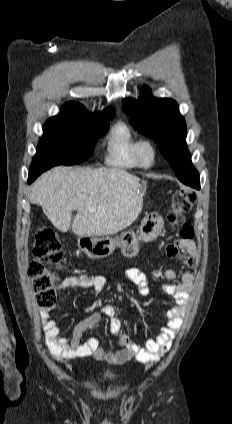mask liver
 I'll use <instances>...</instances> for the list:
<instances>
[{
	"label": "liver",
	"instance_id": "obj_1",
	"mask_svg": "<svg viewBox=\"0 0 232 424\" xmlns=\"http://www.w3.org/2000/svg\"><path fill=\"white\" fill-rule=\"evenodd\" d=\"M140 179L120 168L56 166L33 184L30 202L40 205L61 232L71 226L79 236L111 235L132 224L143 207ZM94 207L95 211H89Z\"/></svg>",
	"mask_w": 232,
	"mask_h": 424
}]
</instances>
